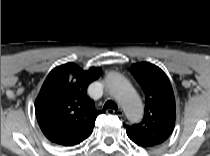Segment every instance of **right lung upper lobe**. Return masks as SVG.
<instances>
[{"label":"right lung upper lobe","mask_w":210,"mask_h":156,"mask_svg":"<svg viewBox=\"0 0 210 156\" xmlns=\"http://www.w3.org/2000/svg\"><path fill=\"white\" fill-rule=\"evenodd\" d=\"M100 74V68L83 71L74 63L63 64L49 73L36 99L35 112L42 132L50 141L73 146L90 136L102 111L94 108L86 92Z\"/></svg>","instance_id":"1"}]
</instances>
